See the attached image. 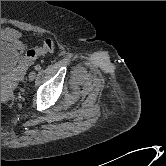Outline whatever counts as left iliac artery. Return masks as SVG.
Listing matches in <instances>:
<instances>
[{
  "instance_id": "obj_1",
  "label": "left iliac artery",
  "mask_w": 166,
  "mask_h": 166,
  "mask_svg": "<svg viewBox=\"0 0 166 166\" xmlns=\"http://www.w3.org/2000/svg\"><path fill=\"white\" fill-rule=\"evenodd\" d=\"M41 69V66L40 65H36L35 66V70L39 71Z\"/></svg>"
}]
</instances>
